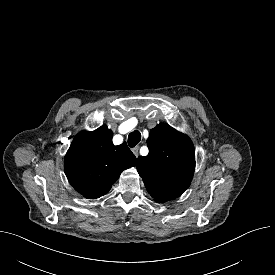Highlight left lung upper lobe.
Here are the masks:
<instances>
[{"instance_id": "left-lung-upper-lobe-1", "label": "left lung upper lobe", "mask_w": 275, "mask_h": 275, "mask_svg": "<svg viewBox=\"0 0 275 275\" xmlns=\"http://www.w3.org/2000/svg\"><path fill=\"white\" fill-rule=\"evenodd\" d=\"M149 154L139 156L137 171L149 194L159 203L179 197L190 186L195 151L190 138L168 124L150 130Z\"/></svg>"}]
</instances>
